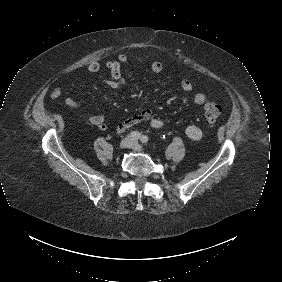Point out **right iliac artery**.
<instances>
[{
    "label": "right iliac artery",
    "instance_id": "1",
    "mask_svg": "<svg viewBox=\"0 0 282 282\" xmlns=\"http://www.w3.org/2000/svg\"><path fill=\"white\" fill-rule=\"evenodd\" d=\"M130 136L132 137V139L136 140L140 138V133L138 131H131Z\"/></svg>",
    "mask_w": 282,
    "mask_h": 282
}]
</instances>
